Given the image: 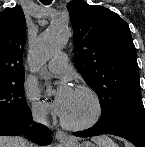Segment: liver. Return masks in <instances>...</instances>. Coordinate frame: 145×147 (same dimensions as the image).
Instances as JSON below:
<instances>
[{"instance_id": "obj_1", "label": "liver", "mask_w": 145, "mask_h": 147, "mask_svg": "<svg viewBox=\"0 0 145 147\" xmlns=\"http://www.w3.org/2000/svg\"><path fill=\"white\" fill-rule=\"evenodd\" d=\"M101 138H97L96 142L100 141ZM0 147H31L30 144L22 137H6L0 136Z\"/></svg>"}]
</instances>
